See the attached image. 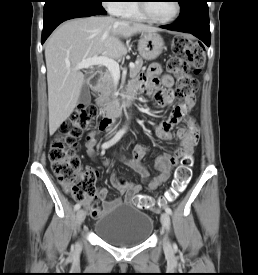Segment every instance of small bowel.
Here are the masks:
<instances>
[{"label": "small bowel", "instance_id": "obj_1", "mask_svg": "<svg viewBox=\"0 0 258 275\" xmlns=\"http://www.w3.org/2000/svg\"><path fill=\"white\" fill-rule=\"evenodd\" d=\"M161 73V65L154 63L147 69L145 74L130 83L129 89L135 91L140 89L146 95L156 91L158 103L162 106L170 105L173 101L171 89L174 79L170 75H163L162 78L159 79ZM194 104L195 97L191 96L183 103L177 105L168 119L154 126L157 138L161 140H170L173 137L171 132L172 128L181 121L185 124V126L177 132V137L181 140V147L176 149L173 153L163 152L156 158L155 167L159 171V174L149 182V188L151 190L166 183L170 178L172 168L178 163L179 159L190 154L196 146L199 138V129L195 121L189 116V112ZM108 126L109 124H106L105 126L99 125L95 130H92L87 134L85 146L88 155L93 160L96 159L95 147L97 145V135L106 130ZM147 153L148 150L146 147L136 145L134 148V159L123 160L126 165L139 174L142 182L148 181L149 172L145 166L139 163V161L145 157ZM103 164L107 166L109 160L105 159ZM88 170L94 171L92 168H89ZM111 180L116 183L114 175H112ZM141 190L142 186L140 184L132 182H124L121 186V192L124 195L125 201L128 203L131 202L133 198L141 192ZM106 196L107 189L105 187H98L96 198L98 200H105ZM82 203L94 218H99L104 213H107L118 206L121 203V199L105 201L103 209H101L98 202L92 198L86 199Z\"/></svg>", "mask_w": 258, "mask_h": 275}]
</instances>
